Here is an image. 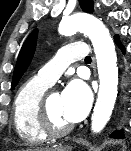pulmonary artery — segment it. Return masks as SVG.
<instances>
[{
    "label": "pulmonary artery",
    "instance_id": "1",
    "mask_svg": "<svg viewBox=\"0 0 131 151\" xmlns=\"http://www.w3.org/2000/svg\"><path fill=\"white\" fill-rule=\"evenodd\" d=\"M87 55L88 49L85 43H68L61 47L53 59L38 71L36 77L44 83L52 85L72 62L84 60Z\"/></svg>",
    "mask_w": 131,
    "mask_h": 151
}]
</instances>
